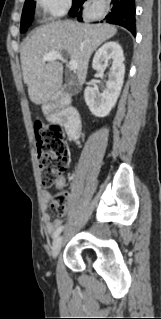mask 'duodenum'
I'll return each mask as SVG.
<instances>
[{"instance_id":"410a0bca","label":"duodenum","mask_w":161,"mask_h":319,"mask_svg":"<svg viewBox=\"0 0 161 319\" xmlns=\"http://www.w3.org/2000/svg\"><path fill=\"white\" fill-rule=\"evenodd\" d=\"M44 114L49 121L63 124L72 141L78 139L82 128L80 114L76 108L70 105L66 94L58 92L44 108Z\"/></svg>"}]
</instances>
